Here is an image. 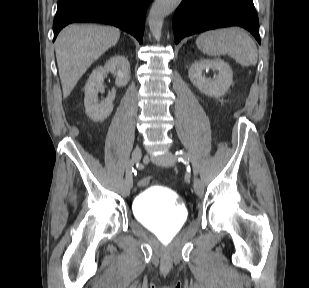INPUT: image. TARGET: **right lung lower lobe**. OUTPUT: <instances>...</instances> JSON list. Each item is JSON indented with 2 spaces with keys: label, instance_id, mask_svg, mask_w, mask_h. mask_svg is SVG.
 <instances>
[{
  "label": "right lung lower lobe",
  "instance_id": "right-lung-lower-lobe-1",
  "mask_svg": "<svg viewBox=\"0 0 309 288\" xmlns=\"http://www.w3.org/2000/svg\"><path fill=\"white\" fill-rule=\"evenodd\" d=\"M151 2L152 0H58L53 41L67 24L92 21L117 26L142 43L146 10Z\"/></svg>",
  "mask_w": 309,
  "mask_h": 288
}]
</instances>
